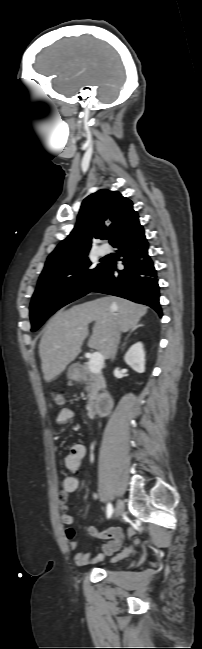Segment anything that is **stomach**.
Here are the masks:
<instances>
[{"label": "stomach", "instance_id": "stomach-1", "mask_svg": "<svg viewBox=\"0 0 202 649\" xmlns=\"http://www.w3.org/2000/svg\"><path fill=\"white\" fill-rule=\"evenodd\" d=\"M79 373H80V371H79L78 366L77 365H72V366H70V368L68 370V378L71 379V380H78Z\"/></svg>", "mask_w": 202, "mask_h": 649}]
</instances>
